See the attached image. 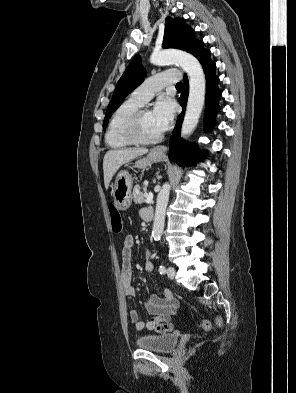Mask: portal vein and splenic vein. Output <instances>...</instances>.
<instances>
[{"label":"portal vein and splenic vein","instance_id":"18ae733b","mask_svg":"<svg viewBox=\"0 0 296 393\" xmlns=\"http://www.w3.org/2000/svg\"><path fill=\"white\" fill-rule=\"evenodd\" d=\"M153 199V194L152 193H149L147 196H146V201L148 202V201H150V200H152Z\"/></svg>","mask_w":296,"mask_h":393}]
</instances>
